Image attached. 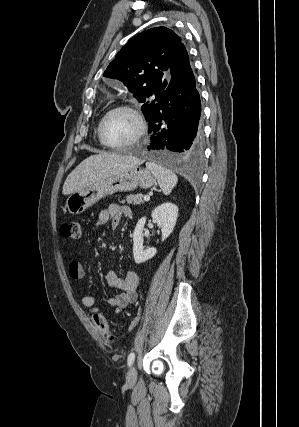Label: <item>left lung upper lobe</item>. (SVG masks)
Returning a JSON list of instances; mask_svg holds the SVG:
<instances>
[{
    "label": "left lung upper lobe",
    "mask_w": 299,
    "mask_h": 427,
    "mask_svg": "<svg viewBox=\"0 0 299 427\" xmlns=\"http://www.w3.org/2000/svg\"><path fill=\"white\" fill-rule=\"evenodd\" d=\"M180 43L181 38L166 27L143 31L126 43L103 73L122 81L144 103L141 110L146 120L151 106L169 82L170 67Z\"/></svg>",
    "instance_id": "1"
}]
</instances>
